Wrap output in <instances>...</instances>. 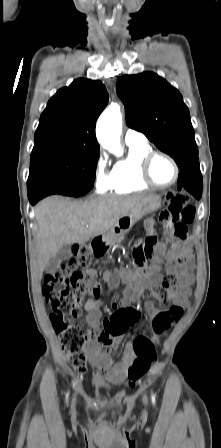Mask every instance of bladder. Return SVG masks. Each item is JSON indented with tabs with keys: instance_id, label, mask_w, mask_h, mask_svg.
<instances>
[{
	"instance_id": "31cf9c89",
	"label": "bladder",
	"mask_w": 221,
	"mask_h": 448,
	"mask_svg": "<svg viewBox=\"0 0 221 448\" xmlns=\"http://www.w3.org/2000/svg\"><path fill=\"white\" fill-rule=\"evenodd\" d=\"M90 383L93 388L98 389L100 391H107L112 388L111 382L97 376H93L90 380Z\"/></svg>"
}]
</instances>
